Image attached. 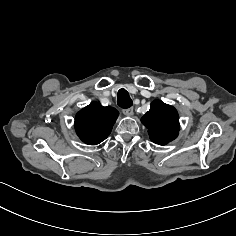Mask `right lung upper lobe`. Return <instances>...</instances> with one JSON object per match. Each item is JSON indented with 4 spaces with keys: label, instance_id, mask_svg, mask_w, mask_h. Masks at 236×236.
Segmentation results:
<instances>
[{
    "label": "right lung upper lobe",
    "instance_id": "1",
    "mask_svg": "<svg viewBox=\"0 0 236 236\" xmlns=\"http://www.w3.org/2000/svg\"><path fill=\"white\" fill-rule=\"evenodd\" d=\"M118 115L115 108L93 102L76 114V133L84 143L97 145L108 137Z\"/></svg>",
    "mask_w": 236,
    "mask_h": 236
}]
</instances>
